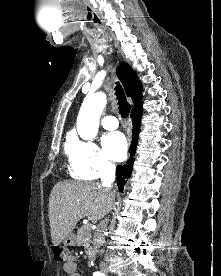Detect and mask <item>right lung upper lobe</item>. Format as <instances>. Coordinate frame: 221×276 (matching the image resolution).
<instances>
[{
	"mask_svg": "<svg viewBox=\"0 0 221 276\" xmlns=\"http://www.w3.org/2000/svg\"><path fill=\"white\" fill-rule=\"evenodd\" d=\"M116 71L123 83L127 96L133 100L134 107L132 110L141 108L143 104L142 85L133 69L128 64L122 62Z\"/></svg>",
	"mask_w": 221,
	"mask_h": 276,
	"instance_id": "obj_1",
	"label": "right lung upper lobe"
}]
</instances>
